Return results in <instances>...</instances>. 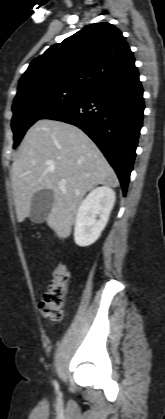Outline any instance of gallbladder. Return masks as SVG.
Here are the masks:
<instances>
[{"label":"gallbladder","mask_w":165,"mask_h":419,"mask_svg":"<svg viewBox=\"0 0 165 419\" xmlns=\"http://www.w3.org/2000/svg\"><path fill=\"white\" fill-rule=\"evenodd\" d=\"M53 203L52 191L40 190L36 192L31 200L30 220L34 223H43L50 213Z\"/></svg>","instance_id":"1"}]
</instances>
